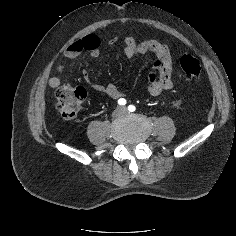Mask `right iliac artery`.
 <instances>
[{
  "label": "right iliac artery",
  "instance_id": "1",
  "mask_svg": "<svg viewBox=\"0 0 236 236\" xmlns=\"http://www.w3.org/2000/svg\"><path fill=\"white\" fill-rule=\"evenodd\" d=\"M127 102H126V99H124V98H120L119 100H118V104L119 105H125Z\"/></svg>",
  "mask_w": 236,
  "mask_h": 236
}]
</instances>
